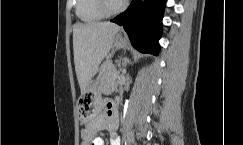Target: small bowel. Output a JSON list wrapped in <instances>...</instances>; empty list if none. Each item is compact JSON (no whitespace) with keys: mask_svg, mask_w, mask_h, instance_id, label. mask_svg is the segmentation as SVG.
<instances>
[{"mask_svg":"<svg viewBox=\"0 0 243 145\" xmlns=\"http://www.w3.org/2000/svg\"><path fill=\"white\" fill-rule=\"evenodd\" d=\"M119 126V119L111 101H106L103 106V112L92 118L81 132V145H104V140L97 136L102 130L110 133L111 145H120V138L116 131Z\"/></svg>","mask_w":243,"mask_h":145,"instance_id":"obj_1","label":"small bowel"}]
</instances>
